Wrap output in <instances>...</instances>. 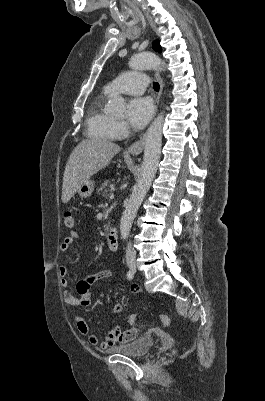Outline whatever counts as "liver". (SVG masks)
<instances>
[{"label":"liver","instance_id":"6515ba94","mask_svg":"<svg viewBox=\"0 0 265 401\" xmlns=\"http://www.w3.org/2000/svg\"><path fill=\"white\" fill-rule=\"evenodd\" d=\"M120 146L103 138H84L72 150L63 174L62 203H68L82 184L101 168H105Z\"/></svg>","mask_w":265,"mask_h":401}]
</instances>
